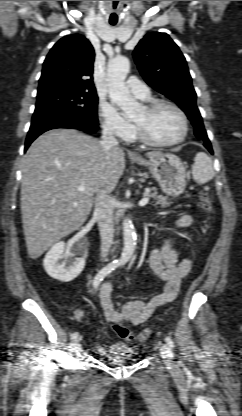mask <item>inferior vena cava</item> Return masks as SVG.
Returning <instances> with one entry per match:
<instances>
[{"label": "inferior vena cava", "mask_w": 242, "mask_h": 416, "mask_svg": "<svg viewBox=\"0 0 242 416\" xmlns=\"http://www.w3.org/2000/svg\"><path fill=\"white\" fill-rule=\"evenodd\" d=\"M103 152L106 153L112 148L118 146V141L113 135L109 126H104L102 130V137L100 141ZM114 206L104 191L97 194L95 201L94 214L98 219L99 230L101 236V257L106 260L111 245L113 244L114 233Z\"/></svg>", "instance_id": "1"}]
</instances>
